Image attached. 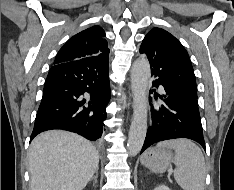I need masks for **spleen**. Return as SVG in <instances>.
<instances>
[{
  "mask_svg": "<svg viewBox=\"0 0 234 190\" xmlns=\"http://www.w3.org/2000/svg\"><path fill=\"white\" fill-rule=\"evenodd\" d=\"M157 147L175 150L174 178L184 190H204L206 168L201 149L188 139L166 140Z\"/></svg>",
  "mask_w": 234,
  "mask_h": 190,
  "instance_id": "1",
  "label": "spleen"
}]
</instances>
